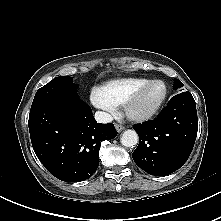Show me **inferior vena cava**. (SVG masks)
<instances>
[{
  "label": "inferior vena cava",
  "instance_id": "obj_1",
  "mask_svg": "<svg viewBox=\"0 0 221 221\" xmlns=\"http://www.w3.org/2000/svg\"><path fill=\"white\" fill-rule=\"evenodd\" d=\"M94 117L99 123H110L113 120L112 116L109 113L103 111L95 112Z\"/></svg>",
  "mask_w": 221,
  "mask_h": 221
}]
</instances>
